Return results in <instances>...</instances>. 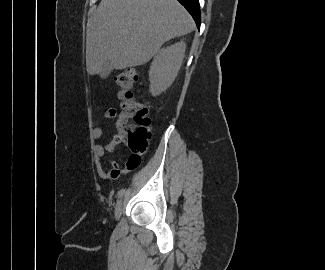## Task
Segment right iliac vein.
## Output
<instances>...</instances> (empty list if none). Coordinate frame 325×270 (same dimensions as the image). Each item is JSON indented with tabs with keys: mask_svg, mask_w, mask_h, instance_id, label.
Listing matches in <instances>:
<instances>
[{
	"mask_svg": "<svg viewBox=\"0 0 325 270\" xmlns=\"http://www.w3.org/2000/svg\"><path fill=\"white\" fill-rule=\"evenodd\" d=\"M122 209H123V200L120 199L117 201L116 205H115V218L119 219L122 213Z\"/></svg>",
	"mask_w": 325,
	"mask_h": 270,
	"instance_id": "obj_1",
	"label": "right iliac vein"
}]
</instances>
